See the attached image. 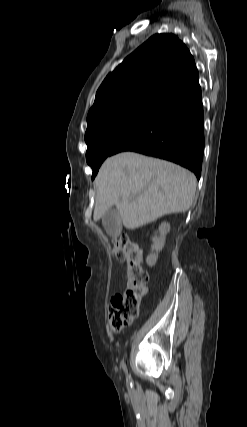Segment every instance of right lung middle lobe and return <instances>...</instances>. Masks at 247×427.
I'll return each instance as SVG.
<instances>
[{
  "label": "right lung middle lobe",
  "mask_w": 247,
  "mask_h": 427,
  "mask_svg": "<svg viewBox=\"0 0 247 427\" xmlns=\"http://www.w3.org/2000/svg\"><path fill=\"white\" fill-rule=\"evenodd\" d=\"M155 106L127 107L105 114L88 125L85 133L86 160L95 178L100 165L155 111Z\"/></svg>",
  "instance_id": "obj_1"
}]
</instances>
